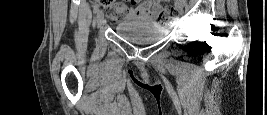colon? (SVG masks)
Here are the masks:
<instances>
[{
    "label": "colon",
    "mask_w": 267,
    "mask_h": 115,
    "mask_svg": "<svg viewBox=\"0 0 267 115\" xmlns=\"http://www.w3.org/2000/svg\"><path fill=\"white\" fill-rule=\"evenodd\" d=\"M129 9L125 2H116L107 6L106 18L113 23L123 20L128 15ZM157 17L162 21H173L178 17V10L172 5L159 8Z\"/></svg>",
    "instance_id": "obj_1"
}]
</instances>
